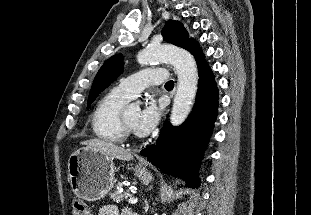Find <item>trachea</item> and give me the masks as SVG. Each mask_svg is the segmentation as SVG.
<instances>
[{"label": "trachea", "instance_id": "obj_1", "mask_svg": "<svg viewBox=\"0 0 311 215\" xmlns=\"http://www.w3.org/2000/svg\"><path fill=\"white\" fill-rule=\"evenodd\" d=\"M166 88H173L174 87V81L170 80L165 84Z\"/></svg>", "mask_w": 311, "mask_h": 215}]
</instances>
